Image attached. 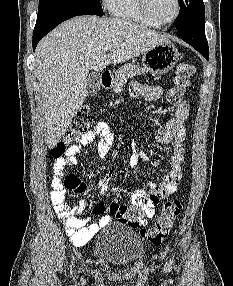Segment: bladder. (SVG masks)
<instances>
[{"label": "bladder", "instance_id": "bladder-1", "mask_svg": "<svg viewBox=\"0 0 233 286\" xmlns=\"http://www.w3.org/2000/svg\"><path fill=\"white\" fill-rule=\"evenodd\" d=\"M145 248L139 235L121 223L109 224L97 239L93 260L114 269L129 268L144 258Z\"/></svg>", "mask_w": 233, "mask_h": 286}]
</instances>
